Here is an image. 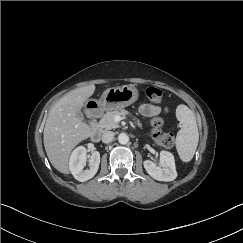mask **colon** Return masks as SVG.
<instances>
[{"mask_svg":"<svg viewBox=\"0 0 243 243\" xmlns=\"http://www.w3.org/2000/svg\"><path fill=\"white\" fill-rule=\"evenodd\" d=\"M146 94L154 104L161 103L163 93L156 87H150L146 90ZM163 120L160 117H154L151 120V136L154 141L162 147L171 148L175 144V137L171 133L162 132Z\"/></svg>","mask_w":243,"mask_h":243,"instance_id":"obj_1","label":"colon"}]
</instances>
